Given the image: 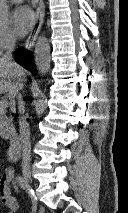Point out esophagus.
<instances>
[{
  "mask_svg": "<svg viewBox=\"0 0 128 213\" xmlns=\"http://www.w3.org/2000/svg\"><path fill=\"white\" fill-rule=\"evenodd\" d=\"M43 21H44V7L42 0H39L38 7L36 10L35 22L25 42L26 49H31L34 46L35 40L37 39V36L41 30Z\"/></svg>",
  "mask_w": 128,
  "mask_h": 213,
  "instance_id": "1",
  "label": "esophagus"
}]
</instances>
